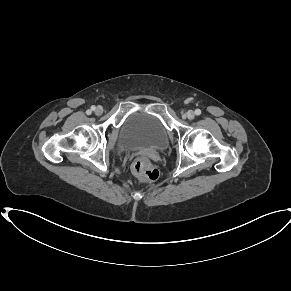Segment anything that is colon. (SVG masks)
Instances as JSON below:
<instances>
[{
  "label": "colon",
  "instance_id": "1",
  "mask_svg": "<svg viewBox=\"0 0 291 291\" xmlns=\"http://www.w3.org/2000/svg\"><path fill=\"white\" fill-rule=\"evenodd\" d=\"M132 169L137 176L145 181H155L159 176L158 170L148 161L143 159H136L133 163Z\"/></svg>",
  "mask_w": 291,
  "mask_h": 291
}]
</instances>
